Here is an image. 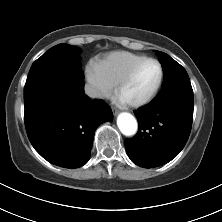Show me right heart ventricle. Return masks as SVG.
<instances>
[{
  "label": "right heart ventricle",
  "mask_w": 222,
  "mask_h": 222,
  "mask_svg": "<svg viewBox=\"0 0 222 222\" xmlns=\"http://www.w3.org/2000/svg\"><path fill=\"white\" fill-rule=\"evenodd\" d=\"M146 56L127 51H116L108 54L98 63L103 78L112 86H115L125 74Z\"/></svg>",
  "instance_id": "right-heart-ventricle-1"
}]
</instances>
